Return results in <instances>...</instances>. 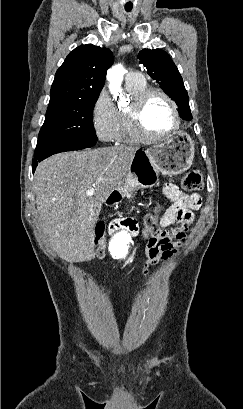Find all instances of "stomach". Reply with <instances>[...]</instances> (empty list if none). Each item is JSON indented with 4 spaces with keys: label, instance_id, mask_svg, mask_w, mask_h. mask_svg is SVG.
<instances>
[{
    "label": "stomach",
    "instance_id": "1",
    "mask_svg": "<svg viewBox=\"0 0 243 409\" xmlns=\"http://www.w3.org/2000/svg\"><path fill=\"white\" fill-rule=\"evenodd\" d=\"M194 142L187 133L177 132L164 142L137 151L130 170L118 188L121 197L139 188H151L158 175L174 176L188 170L194 158Z\"/></svg>",
    "mask_w": 243,
    "mask_h": 409
}]
</instances>
